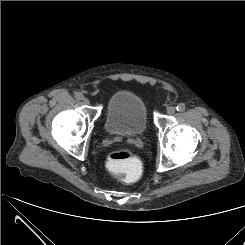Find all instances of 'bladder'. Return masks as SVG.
Here are the masks:
<instances>
[{
	"mask_svg": "<svg viewBox=\"0 0 245 245\" xmlns=\"http://www.w3.org/2000/svg\"><path fill=\"white\" fill-rule=\"evenodd\" d=\"M147 125V107L140 94L121 90L108 99L104 127L109 134L136 136L142 134Z\"/></svg>",
	"mask_w": 245,
	"mask_h": 245,
	"instance_id": "bladder-1",
	"label": "bladder"
}]
</instances>
